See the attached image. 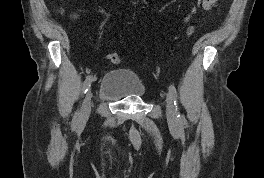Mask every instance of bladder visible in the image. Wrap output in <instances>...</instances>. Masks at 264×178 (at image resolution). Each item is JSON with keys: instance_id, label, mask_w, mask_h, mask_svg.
Wrapping results in <instances>:
<instances>
[{"instance_id": "bladder-1", "label": "bladder", "mask_w": 264, "mask_h": 178, "mask_svg": "<svg viewBox=\"0 0 264 178\" xmlns=\"http://www.w3.org/2000/svg\"><path fill=\"white\" fill-rule=\"evenodd\" d=\"M146 90L138 74L127 68L109 71L99 85L100 96L111 100L142 99Z\"/></svg>"}]
</instances>
